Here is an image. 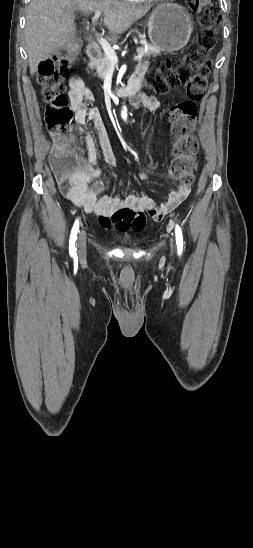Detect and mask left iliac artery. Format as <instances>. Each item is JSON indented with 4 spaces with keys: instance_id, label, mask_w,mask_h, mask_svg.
<instances>
[{
    "instance_id": "obj_1",
    "label": "left iliac artery",
    "mask_w": 253,
    "mask_h": 548,
    "mask_svg": "<svg viewBox=\"0 0 253 548\" xmlns=\"http://www.w3.org/2000/svg\"><path fill=\"white\" fill-rule=\"evenodd\" d=\"M175 236H176L177 251H178V254L180 255L183 250V236H182V231L179 225H176Z\"/></svg>"
}]
</instances>
